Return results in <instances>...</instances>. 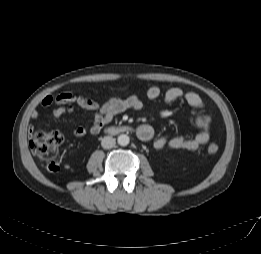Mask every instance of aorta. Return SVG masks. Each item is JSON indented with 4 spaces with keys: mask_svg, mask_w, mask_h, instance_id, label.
Wrapping results in <instances>:
<instances>
[{
    "mask_svg": "<svg viewBox=\"0 0 261 254\" xmlns=\"http://www.w3.org/2000/svg\"><path fill=\"white\" fill-rule=\"evenodd\" d=\"M117 142L120 146H127L130 142V138L126 134H121L118 136Z\"/></svg>",
    "mask_w": 261,
    "mask_h": 254,
    "instance_id": "762f6f07",
    "label": "aorta"
}]
</instances>
